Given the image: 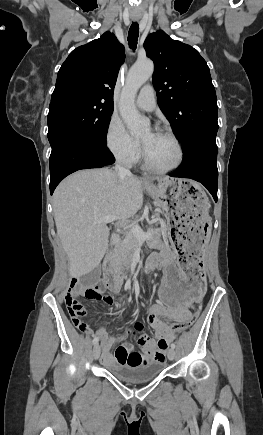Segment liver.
<instances>
[{"label": "liver", "instance_id": "obj_1", "mask_svg": "<svg viewBox=\"0 0 263 435\" xmlns=\"http://www.w3.org/2000/svg\"><path fill=\"white\" fill-rule=\"evenodd\" d=\"M142 204L141 181L133 175L119 177L107 168L78 171L58 185L53 194L54 219L71 277L91 272L104 257L109 239L112 244L119 241L117 235L110 238L106 224L95 221L107 216L130 218Z\"/></svg>", "mask_w": 263, "mask_h": 435}]
</instances>
